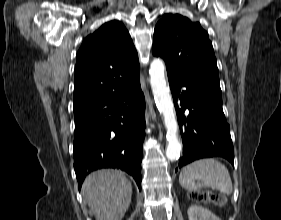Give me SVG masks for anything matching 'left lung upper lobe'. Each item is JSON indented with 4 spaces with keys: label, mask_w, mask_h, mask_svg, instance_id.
Here are the masks:
<instances>
[{
    "label": "left lung upper lobe",
    "mask_w": 281,
    "mask_h": 220,
    "mask_svg": "<svg viewBox=\"0 0 281 220\" xmlns=\"http://www.w3.org/2000/svg\"><path fill=\"white\" fill-rule=\"evenodd\" d=\"M153 54L165 60L168 75L198 81L222 96L212 43L199 23L165 14L154 30Z\"/></svg>",
    "instance_id": "1"
}]
</instances>
